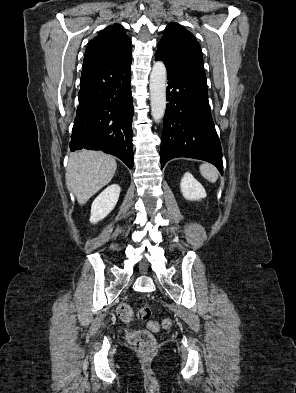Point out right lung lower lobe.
Instances as JSON below:
<instances>
[{
    "mask_svg": "<svg viewBox=\"0 0 296 393\" xmlns=\"http://www.w3.org/2000/svg\"><path fill=\"white\" fill-rule=\"evenodd\" d=\"M131 57L84 61L71 151L102 150L133 168Z\"/></svg>",
    "mask_w": 296,
    "mask_h": 393,
    "instance_id": "98d812e1",
    "label": "right lung lower lobe"
}]
</instances>
